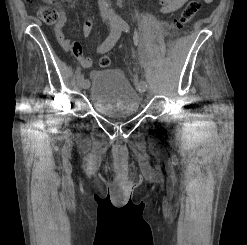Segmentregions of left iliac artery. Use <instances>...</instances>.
<instances>
[{
    "mask_svg": "<svg viewBox=\"0 0 247 245\" xmlns=\"http://www.w3.org/2000/svg\"><path fill=\"white\" fill-rule=\"evenodd\" d=\"M120 28L122 29V31H124V32H126V33L129 32V30H130L129 25H128L126 22H122V23L120 24ZM140 84H141V85H144V86H147L146 83H145L144 81H141Z\"/></svg>",
    "mask_w": 247,
    "mask_h": 245,
    "instance_id": "left-iliac-artery-1",
    "label": "left iliac artery"
}]
</instances>
